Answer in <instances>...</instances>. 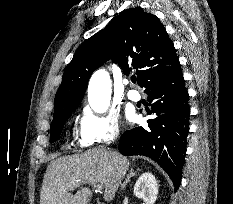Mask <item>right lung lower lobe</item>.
Listing matches in <instances>:
<instances>
[{
	"instance_id": "98d812e1",
	"label": "right lung lower lobe",
	"mask_w": 233,
	"mask_h": 204,
	"mask_svg": "<svg viewBox=\"0 0 233 204\" xmlns=\"http://www.w3.org/2000/svg\"><path fill=\"white\" fill-rule=\"evenodd\" d=\"M184 83L179 62L157 74L145 92L153 102L152 112L158 116L148 120L146 128L126 131L119 141L121 154L155 160L170 176L175 189L180 185L189 132V96Z\"/></svg>"
}]
</instances>
